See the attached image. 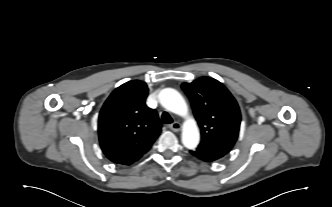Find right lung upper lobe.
I'll list each match as a JSON object with an SVG mask.
<instances>
[{
  "label": "right lung upper lobe",
  "mask_w": 332,
  "mask_h": 207,
  "mask_svg": "<svg viewBox=\"0 0 332 207\" xmlns=\"http://www.w3.org/2000/svg\"><path fill=\"white\" fill-rule=\"evenodd\" d=\"M146 83L129 81L105 101L98 119L99 142L114 163L131 165L152 146L161 132L157 112L145 104Z\"/></svg>",
  "instance_id": "right-lung-upper-lobe-1"
}]
</instances>
